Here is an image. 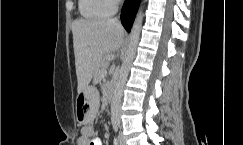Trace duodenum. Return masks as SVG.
I'll return each mask as SVG.
<instances>
[{"label": "duodenum", "mask_w": 243, "mask_h": 145, "mask_svg": "<svg viewBox=\"0 0 243 145\" xmlns=\"http://www.w3.org/2000/svg\"><path fill=\"white\" fill-rule=\"evenodd\" d=\"M114 97V88L113 86H109L107 89V98L109 101H112Z\"/></svg>", "instance_id": "410a0bca"}]
</instances>
